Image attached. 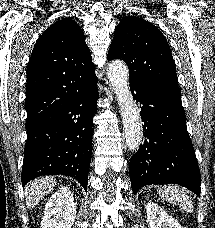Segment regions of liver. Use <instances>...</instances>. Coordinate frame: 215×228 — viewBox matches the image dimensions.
I'll use <instances>...</instances> for the list:
<instances>
[{"mask_svg":"<svg viewBox=\"0 0 215 228\" xmlns=\"http://www.w3.org/2000/svg\"><path fill=\"white\" fill-rule=\"evenodd\" d=\"M57 182H55L53 176H47V178H37L32 180L27 186H25L24 196L26 198L27 208H35L39 204L42 198H45L47 194L52 192L53 188H56Z\"/></svg>","mask_w":215,"mask_h":228,"instance_id":"6515ba94","label":"liver"}]
</instances>
